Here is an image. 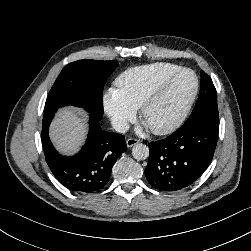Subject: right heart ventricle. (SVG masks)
Returning a JSON list of instances; mask_svg holds the SVG:
<instances>
[{
    "instance_id": "right-heart-ventricle-1",
    "label": "right heart ventricle",
    "mask_w": 251,
    "mask_h": 251,
    "mask_svg": "<svg viewBox=\"0 0 251 251\" xmlns=\"http://www.w3.org/2000/svg\"><path fill=\"white\" fill-rule=\"evenodd\" d=\"M180 68L182 67L168 62L129 68L116 78V90L124 101L136 110L156 84Z\"/></svg>"
}]
</instances>
